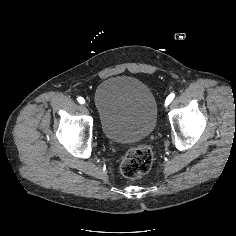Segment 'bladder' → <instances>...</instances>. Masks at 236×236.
<instances>
[{
  "label": "bladder",
  "mask_w": 236,
  "mask_h": 236,
  "mask_svg": "<svg viewBox=\"0 0 236 236\" xmlns=\"http://www.w3.org/2000/svg\"><path fill=\"white\" fill-rule=\"evenodd\" d=\"M94 103L101 132L112 142H137L155 128L156 98L150 88L136 78L105 80L95 92Z\"/></svg>",
  "instance_id": "bladder-1"
}]
</instances>
